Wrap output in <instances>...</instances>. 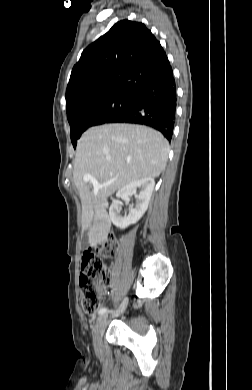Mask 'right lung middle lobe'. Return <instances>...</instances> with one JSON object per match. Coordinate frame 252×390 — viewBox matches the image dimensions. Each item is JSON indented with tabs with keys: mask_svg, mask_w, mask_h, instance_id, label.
<instances>
[{
	"mask_svg": "<svg viewBox=\"0 0 252 390\" xmlns=\"http://www.w3.org/2000/svg\"><path fill=\"white\" fill-rule=\"evenodd\" d=\"M134 95H111L80 105L67 113L71 128V141L75 147L82 133L91 126L106 123L129 108Z\"/></svg>",
	"mask_w": 252,
	"mask_h": 390,
	"instance_id": "obj_1",
	"label": "right lung middle lobe"
}]
</instances>
